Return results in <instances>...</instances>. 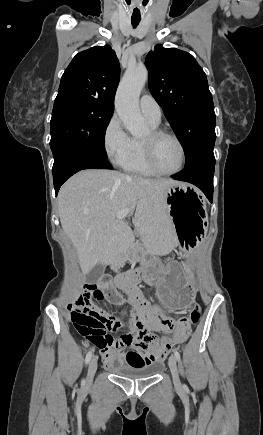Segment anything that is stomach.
<instances>
[{"label": "stomach", "mask_w": 263, "mask_h": 435, "mask_svg": "<svg viewBox=\"0 0 263 435\" xmlns=\"http://www.w3.org/2000/svg\"><path fill=\"white\" fill-rule=\"evenodd\" d=\"M166 211L172 222V233H176L180 255L185 260L164 258L163 264L155 258L140 259L145 270L142 281L155 288L159 304L165 310H189L193 302V291L189 282V261L192 260L194 247H199L204 233H208L210 216H205L206 206L201 193L187 183L179 182L165 192ZM133 259L130 255L128 259Z\"/></svg>", "instance_id": "stomach-1"}]
</instances>
